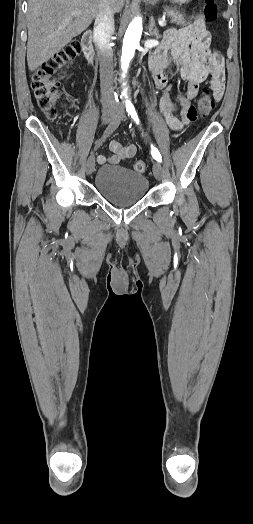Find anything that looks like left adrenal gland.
Segmentation results:
<instances>
[{
	"label": "left adrenal gland",
	"mask_w": 253,
	"mask_h": 524,
	"mask_svg": "<svg viewBox=\"0 0 253 524\" xmlns=\"http://www.w3.org/2000/svg\"><path fill=\"white\" fill-rule=\"evenodd\" d=\"M149 33L151 36H154L156 38H159V31L158 29L155 27V21L153 19V17H151L150 19V22H149Z\"/></svg>",
	"instance_id": "obj_1"
}]
</instances>
